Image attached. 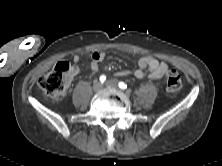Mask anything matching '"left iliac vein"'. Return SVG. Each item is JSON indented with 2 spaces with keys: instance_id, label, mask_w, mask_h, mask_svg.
Masks as SVG:
<instances>
[{
  "instance_id": "obj_1",
  "label": "left iliac vein",
  "mask_w": 222,
  "mask_h": 166,
  "mask_svg": "<svg viewBox=\"0 0 222 166\" xmlns=\"http://www.w3.org/2000/svg\"><path fill=\"white\" fill-rule=\"evenodd\" d=\"M105 85L107 87H112V88H116L118 86L116 80H108V81H106Z\"/></svg>"
}]
</instances>
